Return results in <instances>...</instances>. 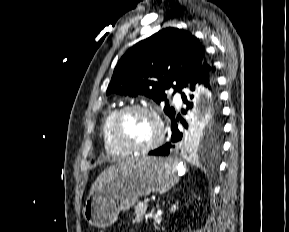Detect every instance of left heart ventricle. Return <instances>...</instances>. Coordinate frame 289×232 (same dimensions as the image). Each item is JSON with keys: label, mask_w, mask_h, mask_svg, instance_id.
I'll return each instance as SVG.
<instances>
[{"label": "left heart ventricle", "mask_w": 289, "mask_h": 232, "mask_svg": "<svg viewBox=\"0 0 289 232\" xmlns=\"http://www.w3.org/2000/svg\"><path fill=\"white\" fill-rule=\"evenodd\" d=\"M157 135V123L148 113L133 111L128 113L122 121L121 136L132 145H149L157 138Z\"/></svg>", "instance_id": "left-heart-ventricle-1"}]
</instances>
